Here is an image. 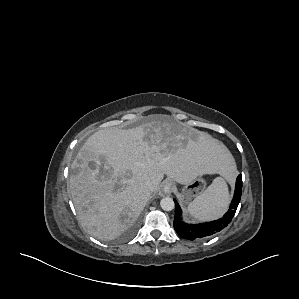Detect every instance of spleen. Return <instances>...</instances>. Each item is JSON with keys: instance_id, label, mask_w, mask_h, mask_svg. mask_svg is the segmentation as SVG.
<instances>
[{"instance_id": "spleen-1", "label": "spleen", "mask_w": 299, "mask_h": 299, "mask_svg": "<svg viewBox=\"0 0 299 299\" xmlns=\"http://www.w3.org/2000/svg\"><path fill=\"white\" fill-rule=\"evenodd\" d=\"M228 203L227 184L222 177H217L206 190L189 203L188 212L198 220H213L224 214Z\"/></svg>"}]
</instances>
